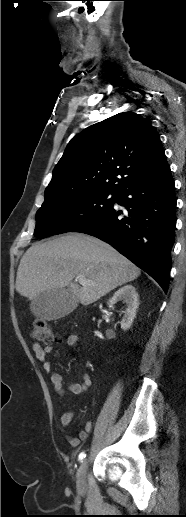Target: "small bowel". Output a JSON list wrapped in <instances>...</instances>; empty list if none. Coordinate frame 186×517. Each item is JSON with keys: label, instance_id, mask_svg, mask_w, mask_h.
Here are the masks:
<instances>
[{"label": "small bowel", "instance_id": "c3829d8e", "mask_svg": "<svg viewBox=\"0 0 186 517\" xmlns=\"http://www.w3.org/2000/svg\"><path fill=\"white\" fill-rule=\"evenodd\" d=\"M79 342H80V337L77 334H70L66 339V343L70 347L78 346ZM51 350H52L51 346L43 347L37 342H34L32 344V351L34 352L35 357L43 364V368L45 371L51 370V365H50L49 361L47 360V354L49 352H51ZM50 380L53 384L55 391L59 395H65L66 391H69L73 394H81V393L85 392L91 386V383H92L90 375L86 372L83 374L82 381L80 383H71L69 385H66L65 382L63 381L62 376L59 373H55V372L51 373ZM73 417H74L73 410H68V411L64 412L60 419L61 426L64 429H66L69 426V424L71 423ZM93 428H94L93 422H91V421L87 422L84 430L80 431V433L77 437L67 435L66 436L67 442L69 443V445H71L73 447L78 446L81 441H85L89 437V434L92 432Z\"/></svg>", "mask_w": 186, "mask_h": 517}]
</instances>
